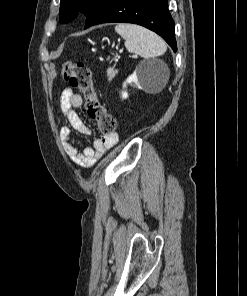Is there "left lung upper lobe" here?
Segmentation results:
<instances>
[{"label": "left lung upper lobe", "instance_id": "5c2ea615", "mask_svg": "<svg viewBox=\"0 0 247 296\" xmlns=\"http://www.w3.org/2000/svg\"><path fill=\"white\" fill-rule=\"evenodd\" d=\"M104 0H61L60 22L68 23L75 19L79 12L85 16L97 10Z\"/></svg>", "mask_w": 247, "mask_h": 296}]
</instances>
